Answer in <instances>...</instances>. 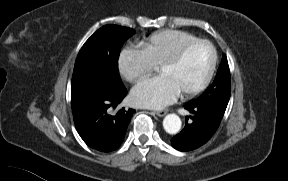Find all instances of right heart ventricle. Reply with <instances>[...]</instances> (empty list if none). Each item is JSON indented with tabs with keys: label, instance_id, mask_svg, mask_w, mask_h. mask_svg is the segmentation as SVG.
<instances>
[{
	"label": "right heart ventricle",
	"instance_id": "1",
	"mask_svg": "<svg viewBox=\"0 0 288 181\" xmlns=\"http://www.w3.org/2000/svg\"><path fill=\"white\" fill-rule=\"evenodd\" d=\"M197 39L198 37L191 33L167 29L149 36L140 43V48L145 52L153 66H158L182 46Z\"/></svg>",
	"mask_w": 288,
	"mask_h": 181
}]
</instances>
